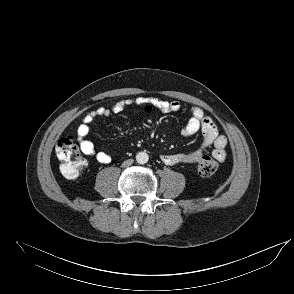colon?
I'll list each match as a JSON object with an SVG mask.
<instances>
[{
  "instance_id": "colon-1",
  "label": "colon",
  "mask_w": 294,
  "mask_h": 294,
  "mask_svg": "<svg viewBox=\"0 0 294 294\" xmlns=\"http://www.w3.org/2000/svg\"><path fill=\"white\" fill-rule=\"evenodd\" d=\"M156 109L148 104L145 107L147 112ZM56 155L60 160V170L63 176L69 179H76L80 176L85 166V159L81 156L79 146L72 136L61 138L56 145ZM218 162L215 158L204 156L198 164V172L203 177H210L216 173Z\"/></svg>"
}]
</instances>
